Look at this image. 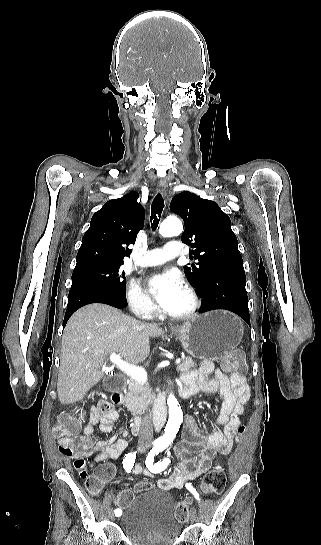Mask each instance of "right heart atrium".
<instances>
[{"label": "right heart atrium", "mask_w": 321, "mask_h": 545, "mask_svg": "<svg viewBox=\"0 0 321 545\" xmlns=\"http://www.w3.org/2000/svg\"><path fill=\"white\" fill-rule=\"evenodd\" d=\"M125 296L130 310L135 315L148 320L156 316L155 304L136 284L128 285Z\"/></svg>", "instance_id": "1"}]
</instances>
